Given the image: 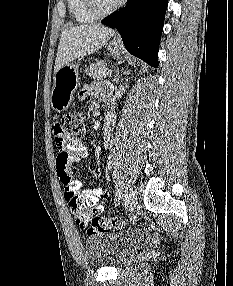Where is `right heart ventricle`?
<instances>
[{
	"mask_svg": "<svg viewBox=\"0 0 233 286\" xmlns=\"http://www.w3.org/2000/svg\"><path fill=\"white\" fill-rule=\"evenodd\" d=\"M67 3L69 12L76 22L86 24L96 19L88 10L85 0H67Z\"/></svg>",
	"mask_w": 233,
	"mask_h": 286,
	"instance_id": "right-heart-ventricle-1",
	"label": "right heart ventricle"
}]
</instances>
